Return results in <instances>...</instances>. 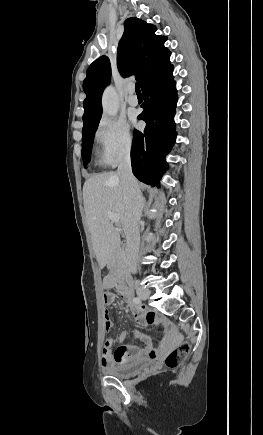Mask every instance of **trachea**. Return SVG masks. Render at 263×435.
Here are the masks:
<instances>
[{
  "mask_svg": "<svg viewBox=\"0 0 263 435\" xmlns=\"http://www.w3.org/2000/svg\"><path fill=\"white\" fill-rule=\"evenodd\" d=\"M135 91L137 94H141L140 87H139L138 83L135 84Z\"/></svg>",
  "mask_w": 263,
  "mask_h": 435,
  "instance_id": "obj_1",
  "label": "trachea"
}]
</instances>
